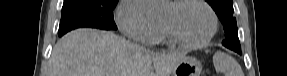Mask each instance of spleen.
<instances>
[{
	"instance_id": "1",
	"label": "spleen",
	"mask_w": 287,
	"mask_h": 76,
	"mask_svg": "<svg viewBox=\"0 0 287 76\" xmlns=\"http://www.w3.org/2000/svg\"><path fill=\"white\" fill-rule=\"evenodd\" d=\"M213 64L216 70L221 71L225 76H244L238 62L224 52H216L213 56Z\"/></svg>"
}]
</instances>
